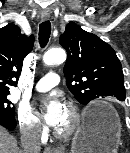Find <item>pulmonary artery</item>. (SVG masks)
<instances>
[{
  "label": "pulmonary artery",
  "mask_w": 130,
  "mask_h": 153,
  "mask_svg": "<svg viewBox=\"0 0 130 153\" xmlns=\"http://www.w3.org/2000/svg\"><path fill=\"white\" fill-rule=\"evenodd\" d=\"M60 81L59 75L54 72L47 73L42 79H40L36 85L35 90L39 92H45L56 86Z\"/></svg>",
  "instance_id": "e3ab8cb5"
}]
</instances>
